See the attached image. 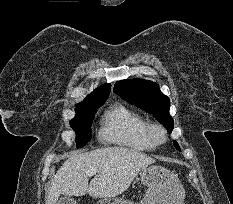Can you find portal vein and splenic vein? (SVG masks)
Segmentation results:
<instances>
[{
    "mask_svg": "<svg viewBox=\"0 0 233 204\" xmlns=\"http://www.w3.org/2000/svg\"><path fill=\"white\" fill-rule=\"evenodd\" d=\"M97 174V170L96 169H90L87 171V175L88 176H93Z\"/></svg>",
    "mask_w": 233,
    "mask_h": 204,
    "instance_id": "1",
    "label": "portal vein and splenic vein"
}]
</instances>
